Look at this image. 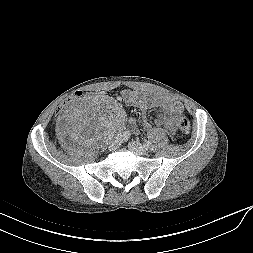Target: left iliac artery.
I'll return each instance as SVG.
<instances>
[{"instance_id": "obj_1", "label": "left iliac artery", "mask_w": 253, "mask_h": 253, "mask_svg": "<svg viewBox=\"0 0 253 253\" xmlns=\"http://www.w3.org/2000/svg\"><path fill=\"white\" fill-rule=\"evenodd\" d=\"M145 145L148 147V146L151 145V142H150V141H147V142L145 143Z\"/></svg>"}]
</instances>
